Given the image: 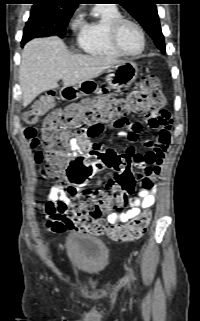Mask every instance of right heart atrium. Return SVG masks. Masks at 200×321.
<instances>
[{
  "mask_svg": "<svg viewBox=\"0 0 200 321\" xmlns=\"http://www.w3.org/2000/svg\"><path fill=\"white\" fill-rule=\"evenodd\" d=\"M83 21H82V17L79 14H75L71 20V25L73 28H78L80 26H82Z\"/></svg>",
  "mask_w": 200,
  "mask_h": 321,
  "instance_id": "obj_1",
  "label": "right heart atrium"
}]
</instances>
